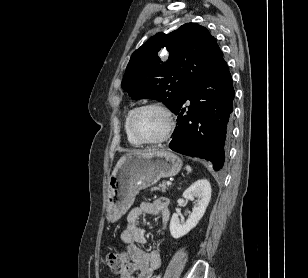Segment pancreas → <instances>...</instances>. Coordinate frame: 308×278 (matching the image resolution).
I'll list each match as a JSON object with an SVG mask.
<instances>
[{"label":"pancreas","mask_w":308,"mask_h":278,"mask_svg":"<svg viewBox=\"0 0 308 278\" xmlns=\"http://www.w3.org/2000/svg\"><path fill=\"white\" fill-rule=\"evenodd\" d=\"M168 189H169V186L166 185L165 182H162V183L159 185V187L154 188V190H159V191H161L162 193H165Z\"/></svg>","instance_id":"cf45deb5"}]
</instances>
